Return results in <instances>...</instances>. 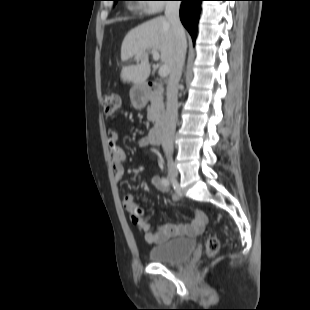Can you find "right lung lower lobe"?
Returning <instances> with one entry per match:
<instances>
[{"mask_svg":"<svg viewBox=\"0 0 310 310\" xmlns=\"http://www.w3.org/2000/svg\"><path fill=\"white\" fill-rule=\"evenodd\" d=\"M180 19L184 27L190 33L195 44L201 2L203 0H181Z\"/></svg>","mask_w":310,"mask_h":310,"instance_id":"right-lung-lower-lobe-1","label":"right lung lower lobe"}]
</instances>
